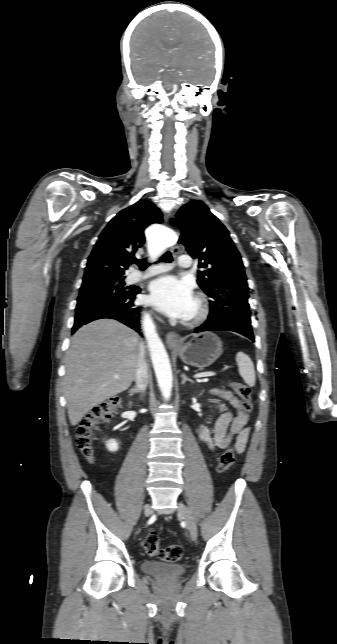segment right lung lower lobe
<instances>
[{
  "label": "right lung lower lobe",
  "mask_w": 337,
  "mask_h": 644,
  "mask_svg": "<svg viewBox=\"0 0 337 644\" xmlns=\"http://www.w3.org/2000/svg\"><path fill=\"white\" fill-rule=\"evenodd\" d=\"M139 292L140 289L137 288L134 289V293L129 295V297L124 300L111 304L97 305L77 310L72 332H75L82 325L102 318L116 319L139 332L140 308L135 306L134 304L135 296Z\"/></svg>",
  "instance_id": "1"
}]
</instances>
